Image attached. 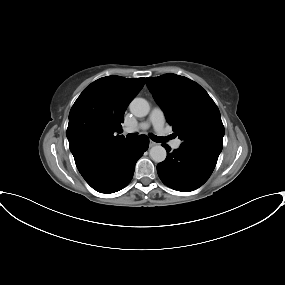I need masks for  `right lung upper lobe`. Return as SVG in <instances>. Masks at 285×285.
<instances>
[{
    "instance_id": "cb5924a9",
    "label": "right lung upper lobe",
    "mask_w": 285,
    "mask_h": 285,
    "mask_svg": "<svg viewBox=\"0 0 285 285\" xmlns=\"http://www.w3.org/2000/svg\"><path fill=\"white\" fill-rule=\"evenodd\" d=\"M144 78L107 76L91 83L69 113L67 138L75 163L88 155L126 140L124 112L144 86Z\"/></svg>"
}]
</instances>
